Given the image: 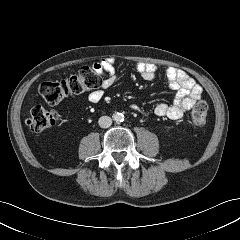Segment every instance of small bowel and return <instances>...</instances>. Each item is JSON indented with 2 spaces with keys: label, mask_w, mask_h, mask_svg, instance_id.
<instances>
[{
  "label": "small bowel",
  "mask_w": 240,
  "mask_h": 240,
  "mask_svg": "<svg viewBox=\"0 0 240 240\" xmlns=\"http://www.w3.org/2000/svg\"><path fill=\"white\" fill-rule=\"evenodd\" d=\"M115 63V58L107 57L93 64V69L102 76V80L100 86L89 94L88 99L91 102L96 103L100 101L106 90L117 82L118 75ZM135 71L144 80H153L158 74L156 65L145 62L136 63ZM165 73L168 85L176 92V97L172 104H157L154 108V113L159 117L179 119L201 98L202 87L186 72L178 68L168 66ZM131 108L141 111L137 105H132Z\"/></svg>",
  "instance_id": "obj_1"
}]
</instances>
